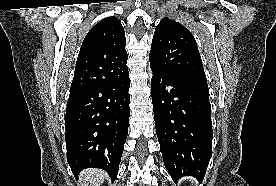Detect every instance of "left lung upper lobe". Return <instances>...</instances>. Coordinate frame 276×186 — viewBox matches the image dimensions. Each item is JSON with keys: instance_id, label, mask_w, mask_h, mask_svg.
<instances>
[{"instance_id": "left-lung-upper-lobe-1", "label": "left lung upper lobe", "mask_w": 276, "mask_h": 186, "mask_svg": "<svg viewBox=\"0 0 276 186\" xmlns=\"http://www.w3.org/2000/svg\"><path fill=\"white\" fill-rule=\"evenodd\" d=\"M150 65L197 85H207L196 41L182 24L163 18L155 29Z\"/></svg>"}]
</instances>
